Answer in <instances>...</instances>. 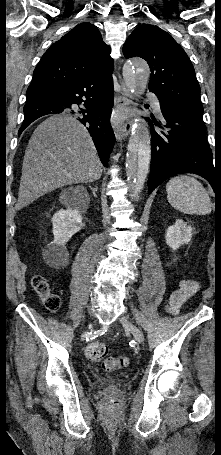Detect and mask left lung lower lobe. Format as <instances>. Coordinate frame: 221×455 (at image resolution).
Listing matches in <instances>:
<instances>
[{"instance_id": "1", "label": "left lung lower lobe", "mask_w": 221, "mask_h": 455, "mask_svg": "<svg viewBox=\"0 0 221 455\" xmlns=\"http://www.w3.org/2000/svg\"><path fill=\"white\" fill-rule=\"evenodd\" d=\"M160 108L164 124L154 119L153 122L162 131H155L153 126L151 128L149 193L169 177L180 173H195L204 177L216 192L218 187L221 188V171L213 165L202 116L161 102Z\"/></svg>"}]
</instances>
